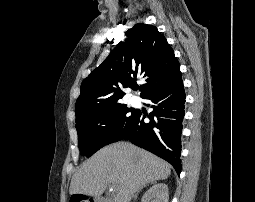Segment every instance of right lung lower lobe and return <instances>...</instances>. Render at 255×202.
Segmentation results:
<instances>
[{
  "mask_svg": "<svg viewBox=\"0 0 255 202\" xmlns=\"http://www.w3.org/2000/svg\"><path fill=\"white\" fill-rule=\"evenodd\" d=\"M144 99L153 111L145 116L138 111L134 123L121 140L131 142L168 161L179 175L181 172V132L184 117L185 92L180 78L167 87L153 91Z\"/></svg>",
  "mask_w": 255,
  "mask_h": 202,
  "instance_id": "right-lung-lower-lobe-1",
  "label": "right lung lower lobe"
}]
</instances>
